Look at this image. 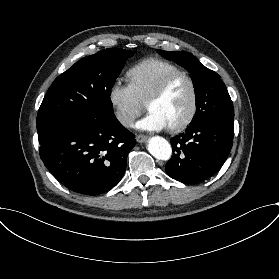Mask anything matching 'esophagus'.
I'll return each instance as SVG.
<instances>
[{
	"mask_svg": "<svg viewBox=\"0 0 279 279\" xmlns=\"http://www.w3.org/2000/svg\"><path fill=\"white\" fill-rule=\"evenodd\" d=\"M136 140L139 143H143V142H145L147 140V137L143 136V135H137Z\"/></svg>",
	"mask_w": 279,
	"mask_h": 279,
	"instance_id": "34e87169",
	"label": "esophagus"
}]
</instances>
